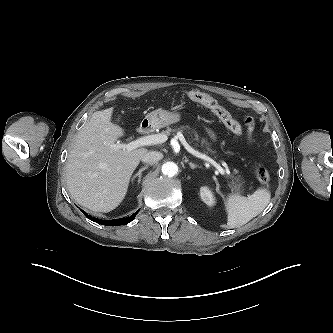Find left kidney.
Masks as SVG:
<instances>
[{
  "mask_svg": "<svg viewBox=\"0 0 333 333\" xmlns=\"http://www.w3.org/2000/svg\"><path fill=\"white\" fill-rule=\"evenodd\" d=\"M200 196L202 201L207 204L208 206H212L215 203V199L213 197L212 192L209 190L208 187L203 186L200 188Z\"/></svg>",
  "mask_w": 333,
  "mask_h": 333,
  "instance_id": "1",
  "label": "left kidney"
}]
</instances>
